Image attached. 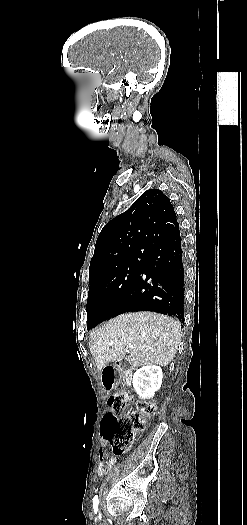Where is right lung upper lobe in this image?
Masks as SVG:
<instances>
[{"mask_svg": "<svg viewBox=\"0 0 247 525\" xmlns=\"http://www.w3.org/2000/svg\"><path fill=\"white\" fill-rule=\"evenodd\" d=\"M179 230L170 199L161 190L145 191L101 230L89 274L130 265Z\"/></svg>", "mask_w": 247, "mask_h": 525, "instance_id": "obj_1", "label": "right lung upper lobe"}]
</instances>
